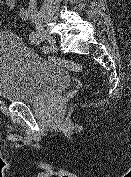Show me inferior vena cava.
<instances>
[{"label": "inferior vena cava", "instance_id": "inferior-vena-cava-1", "mask_svg": "<svg viewBox=\"0 0 131 177\" xmlns=\"http://www.w3.org/2000/svg\"><path fill=\"white\" fill-rule=\"evenodd\" d=\"M37 0H30L29 4L30 6H36Z\"/></svg>", "mask_w": 131, "mask_h": 177}]
</instances>
